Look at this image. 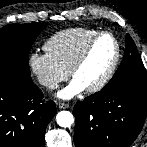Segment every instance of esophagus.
Returning a JSON list of instances; mask_svg holds the SVG:
<instances>
[{"label": "esophagus", "instance_id": "1", "mask_svg": "<svg viewBox=\"0 0 147 147\" xmlns=\"http://www.w3.org/2000/svg\"><path fill=\"white\" fill-rule=\"evenodd\" d=\"M58 107H59L60 109H68V108L70 107V105L67 104V103H64V102H59V103H58Z\"/></svg>", "mask_w": 147, "mask_h": 147}]
</instances>
